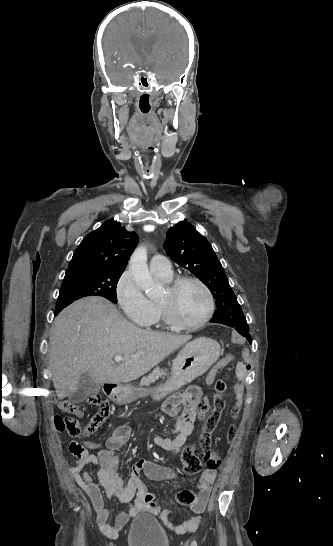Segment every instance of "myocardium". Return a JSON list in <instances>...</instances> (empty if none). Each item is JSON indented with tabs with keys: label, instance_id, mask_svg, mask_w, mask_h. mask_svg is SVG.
Segmentation results:
<instances>
[{
	"label": "myocardium",
	"instance_id": "obj_1",
	"mask_svg": "<svg viewBox=\"0 0 333 546\" xmlns=\"http://www.w3.org/2000/svg\"><path fill=\"white\" fill-rule=\"evenodd\" d=\"M185 283H194L198 285L206 295L207 308L200 320L191 324L184 323L175 316L168 303L159 301L158 305L163 319L168 325L177 330L194 331L203 327L213 316L215 310V298L208 285L203 280L194 276H178L175 279H172L167 286V290L170 294H174L179 287Z\"/></svg>",
	"mask_w": 333,
	"mask_h": 546
}]
</instances>
